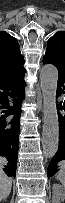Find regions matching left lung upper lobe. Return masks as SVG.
Wrapping results in <instances>:
<instances>
[{"label": "left lung upper lobe", "instance_id": "obj_1", "mask_svg": "<svg viewBox=\"0 0 65 203\" xmlns=\"http://www.w3.org/2000/svg\"><path fill=\"white\" fill-rule=\"evenodd\" d=\"M45 56L65 70V31L57 32L48 40Z\"/></svg>", "mask_w": 65, "mask_h": 203}]
</instances>
